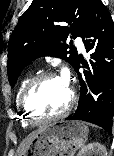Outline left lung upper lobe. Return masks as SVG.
Instances as JSON below:
<instances>
[{
  "label": "left lung upper lobe",
  "instance_id": "5c2ea615",
  "mask_svg": "<svg viewBox=\"0 0 114 156\" xmlns=\"http://www.w3.org/2000/svg\"><path fill=\"white\" fill-rule=\"evenodd\" d=\"M99 1L33 0L10 40L7 64L10 84L14 86L25 66L41 56L62 58L75 67L77 51L66 40L82 37Z\"/></svg>",
  "mask_w": 114,
  "mask_h": 156
}]
</instances>
